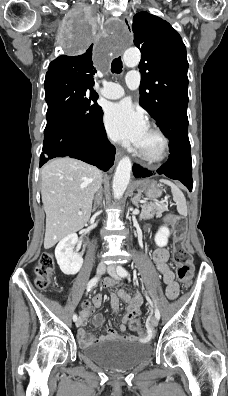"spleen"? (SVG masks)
Returning a JSON list of instances; mask_svg holds the SVG:
<instances>
[{
    "label": "spleen",
    "instance_id": "obj_1",
    "mask_svg": "<svg viewBox=\"0 0 228 396\" xmlns=\"http://www.w3.org/2000/svg\"><path fill=\"white\" fill-rule=\"evenodd\" d=\"M160 182L170 186L173 199L177 205V211L179 212V214L183 216H187V205L183 192L174 183H172L169 180L161 179Z\"/></svg>",
    "mask_w": 228,
    "mask_h": 396
}]
</instances>
